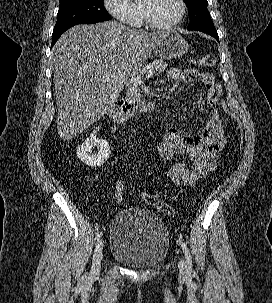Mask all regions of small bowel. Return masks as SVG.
Wrapping results in <instances>:
<instances>
[{"label": "small bowel", "mask_w": 272, "mask_h": 303, "mask_svg": "<svg viewBox=\"0 0 272 303\" xmlns=\"http://www.w3.org/2000/svg\"><path fill=\"white\" fill-rule=\"evenodd\" d=\"M174 82L197 80L206 88V103L210 107L204 121L196 133L169 127L158 147L159 155L174 163L169 170V178L181 187H194L217 169V157L226 144V135L221 115L216 104L221 95V87L209 73L196 70L172 68L168 71Z\"/></svg>", "instance_id": "c3829d8e"}]
</instances>
